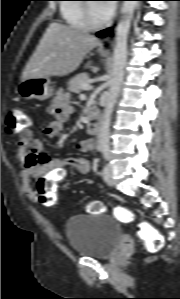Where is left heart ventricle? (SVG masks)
<instances>
[{"label":"left heart ventricle","instance_id":"b2bd125f","mask_svg":"<svg viewBox=\"0 0 180 299\" xmlns=\"http://www.w3.org/2000/svg\"><path fill=\"white\" fill-rule=\"evenodd\" d=\"M91 11L93 19L96 22H101L108 17V14L104 11L100 3H91Z\"/></svg>","mask_w":180,"mask_h":299}]
</instances>
